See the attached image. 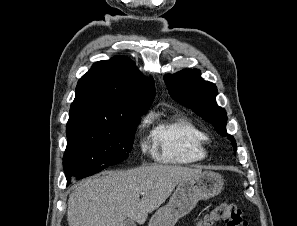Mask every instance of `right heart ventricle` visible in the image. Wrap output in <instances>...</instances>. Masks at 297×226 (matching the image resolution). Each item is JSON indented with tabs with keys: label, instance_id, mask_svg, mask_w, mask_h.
<instances>
[{
	"label": "right heart ventricle",
	"instance_id": "right-heart-ventricle-1",
	"mask_svg": "<svg viewBox=\"0 0 297 226\" xmlns=\"http://www.w3.org/2000/svg\"><path fill=\"white\" fill-rule=\"evenodd\" d=\"M208 135L186 117L162 121L153 131L156 159L169 164H191L206 158Z\"/></svg>",
	"mask_w": 297,
	"mask_h": 226
}]
</instances>
